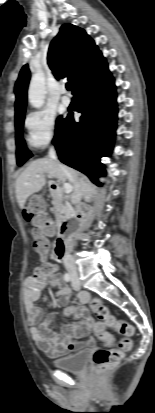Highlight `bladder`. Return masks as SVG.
Instances as JSON below:
<instances>
[{
    "label": "bladder",
    "instance_id": "1",
    "mask_svg": "<svg viewBox=\"0 0 155 413\" xmlns=\"http://www.w3.org/2000/svg\"><path fill=\"white\" fill-rule=\"evenodd\" d=\"M89 351L83 350L74 355L58 358L53 365L61 370L72 373H83L88 367Z\"/></svg>",
    "mask_w": 155,
    "mask_h": 413
}]
</instances>
